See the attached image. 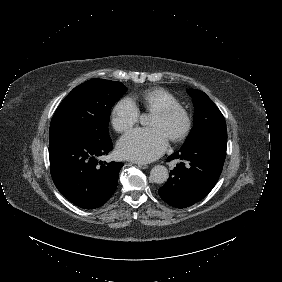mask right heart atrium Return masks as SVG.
I'll use <instances>...</instances> for the list:
<instances>
[{
	"mask_svg": "<svg viewBox=\"0 0 282 282\" xmlns=\"http://www.w3.org/2000/svg\"><path fill=\"white\" fill-rule=\"evenodd\" d=\"M140 117L139 109L130 101H122L112 111V125L122 132L137 123Z\"/></svg>",
	"mask_w": 282,
	"mask_h": 282,
	"instance_id": "obj_1",
	"label": "right heart atrium"
}]
</instances>
